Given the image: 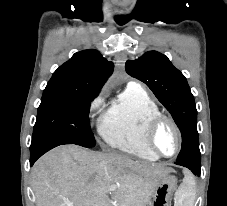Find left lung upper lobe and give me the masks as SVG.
<instances>
[{"label":"left lung upper lobe","instance_id":"5c2ea615","mask_svg":"<svg viewBox=\"0 0 227 206\" xmlns=\"http://www.w3.org/2000/svg\"><path fill=\"white\" fill-rule=\"evenodd\" d=\"M126 71L144 82L170 112L182 135L177 161L201 162L197 132V110L184 75L167 56L149 51L136 60H128Z\"/></svg>","mask_w":227,"mask_h":206}]
</instances>
